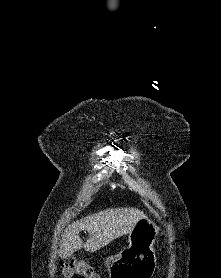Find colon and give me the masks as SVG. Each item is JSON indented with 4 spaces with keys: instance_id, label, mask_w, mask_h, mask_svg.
I'll return each instance as SVG.
<instances>
[{
    "instance_id": "5ec220e1",
    "label": "colon",
    "mask_w": 221,
    "mask_h": 278,
    "mask_svg": "<svg viewBox=\"0 0 221 278\" xmlns=\"http://www.w3.org/2000/svg\"><path fill=\"white\" fill-rule=\"evenodd\" d=\"M63 274L70 278H100V275L92 268L88 261L75 258L65 257L61 261Z\"/></svg>"
}]
</instances>
